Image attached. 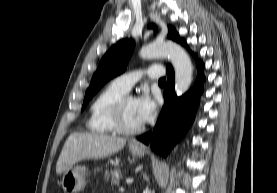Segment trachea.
<instances>
[{"label":"trachea","instance_id":"trachea-1","mask_svg":"<svg viewBox=\"0 0 277 193\" xmlns=\"http://www.w3.org/2000/svg\"><path fill=\"white\" fill-rule=\"evenodd\" d=\"M166 82V78H161L160 80H159V83H165Z\"/></svg>","mask_w":277,"mask_h":193}]
</instances>
